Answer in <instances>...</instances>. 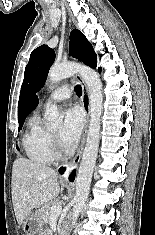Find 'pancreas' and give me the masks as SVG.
Returning a JSON list of instances; mask_svg holds the SVG:
<instances>
[{
    "instance_id": "1",
    "label": "pancreas",
    "mask_w": 155,
    "mask_h": 235,
    "mask_svg": "<svg viewBox=\"0 0 155 235\" xmlns=\"http://www.w3.org/2000/svg\"><path fill=\"white\" fill-rule=\"evenodd\" d=\"M59 203V200H53L42 207L43 216L46 222H49L50 220L52 208Z\"/></svg>"
}]
</instances>
